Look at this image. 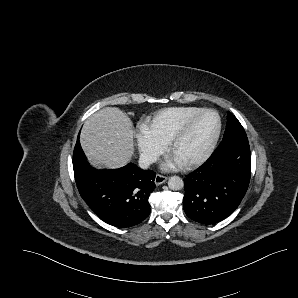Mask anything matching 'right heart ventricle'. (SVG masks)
<instances>
[{"instance_id": "obj_1", "label": "right heart ventricle", "mask_w": 298, "mask_h": 298, "mask_svg": "<svg viewBox=\"0 0 298 298\" xmlns=\"http://www.w3.org/2000/svg\"><path fill=\"white\" fill-rule=\"evenodd\" d=\"M201 110L202 108L195 106L165 108L152 116L151 126L158 130L166 141V137L172 132L176 125Z\"/></svg>"}]
</instances>
